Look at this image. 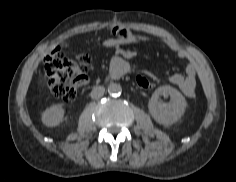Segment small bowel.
<instances>
[{
	"mask_svg": "<svg viewBox=\"0 0 236 182\" xmlns=\"http://www.w3.org/2000/svg\"><path fill=\"white\" fill-rule=\"evenodd\" d=\"M113 37L108 38L104 41L103 46L107 49L116 48L122 45L128 44H140L147 40L146 36L135 35L130 30L123 27H114L112 30ZM165 46L176 54L181 59L188 60V64L184 74L175 73L167 76V80L173 85L177 86L179 90L187 97L195 96L196 89V66L195 63L190 59L189 54L186 50L181 48L177 42L173 40H165ZM70 46L68 41H64L59 47L60 50L66 49Z\"/></svg>",
	"mask_w": 236,
	"mask_h": 182,
	"instance_id": "small-bowel-1",
	"label": "small bowel"
}]
</instances>
